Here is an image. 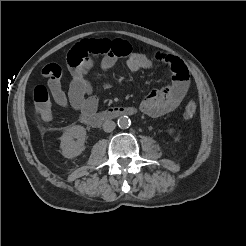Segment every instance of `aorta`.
<instances>
[{
    "label": "aorta",
    "mask_w": 246,
    "mask_h": 246,
    "mask_svg": "<svg viewBox=\"0 0 246 246\" xmlns=\"http://www.w3.org/2000/svg\"><path fill=\"white\" fill-rule=\"evenodd\" d=\"M117 124L121 129H127L131 125V120L128 116H121L118 118Z\"/></svg>",
    "instance_id": "762f6f07"
}]
</instances>
